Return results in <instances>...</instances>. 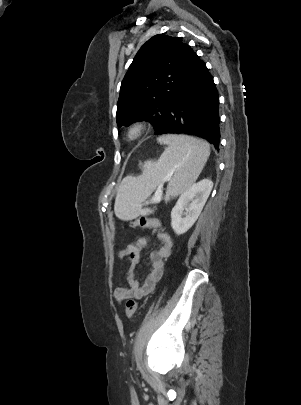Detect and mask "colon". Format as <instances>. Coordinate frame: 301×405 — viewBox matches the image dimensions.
<instances>
[{
	"label": "colon",
	"instance_id": "5ec220e1",
	"mask_svg": "<svg viewBox=\"0 0 301 405\" xmlns=\"http://www.w3.org/2000/svg\"><path fill=\"white\" fill-rule=\"evenodd\" d=\"M130 226L131 227H140V228H149V229H158L161 227V223L157 219L140 217L138 219L133 220L130 223ZM137 307H138V302L135 299L130 298L127 300L125 313H126V317L128 319H131L134 316V314L137 310Z\"/></svg>",
	"mask_w": 301,
	"mask_h": 405
}]
</instances>
